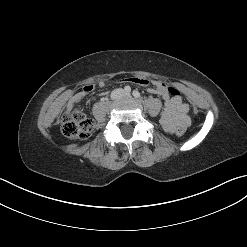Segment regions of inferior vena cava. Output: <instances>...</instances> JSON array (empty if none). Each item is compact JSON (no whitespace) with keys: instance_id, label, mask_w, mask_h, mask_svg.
I'll use <instances>...</instances> for the list:
<instances>
[{"instance_id":"602c4592","label":"inferior vena cava","mask_w":247,"mask_h":247,"mask_svg":"<svg viewBox=\"0 0 247 247\" xmlns=\"http://www.w3.org/2000/svg\"><path fill=\"white\" fill-rule=\"evenodd\" d=\"M123 90L122 89H117L116 91L112 92V97H116L117 95H122Z\"/></svg>"}]
</instances>
